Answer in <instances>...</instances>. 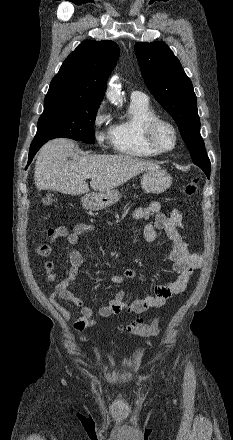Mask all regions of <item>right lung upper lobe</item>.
<instances>
[{"label": "right lung upper lobe", "instance_id": "right-lung-upper-lobe-1", "mask_svg": "<svg viewBox=\"0 0 233 440\" xmlns=\"http://www.w3.org/2000/svg\"><path fill=\"white\" fill-rule=\"evenodd\" d=\"M119 58V47L109 40L83 41L52 79L44 102L54 100L101 103L106 80Z\"/></svg>", "mask_w": 233, "mask_h": 440}]
</instances>
